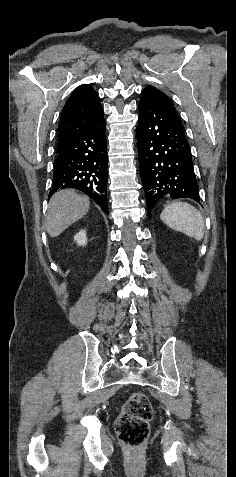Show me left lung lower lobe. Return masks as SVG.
<instances>
[{"label":"left lung lower lobe","instance_id":"left-lung-lower-lobe-1","mask_svg":"<svg viewBox=\"0 0 236 477\" xmlns=\"http://www.w3.org/2000/svg\"><path fill=\"white\" fill-rule=\"evenodd\" d=\"M138 156L148 215L163 199L200 202L190 146L163 95L146 87L139 102Z\"/></svg>","mask_w":236,"mask_h":477}]
</instances>
